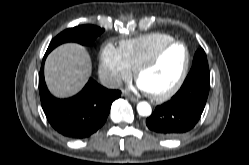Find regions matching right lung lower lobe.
<instances>
[{"instance_id":"1","label":"right lung lower lobe","mask_w":249,"mask_h":165,"mask_svg":"<svg viewBox=\"0 0 249 165\" xmlns=\"http://www.w3.org/2000/svg\"><path fill=\"white\" fill-rule=\"evenodd\" d=\"M39 74V92L43 111L51 126L60 134L70 138H86L105 123L111 104L121 96L119 90H109L89 79L77 95L68 99H57L48 91L44 80V61Z\"/></svg>"}]
</instances>
